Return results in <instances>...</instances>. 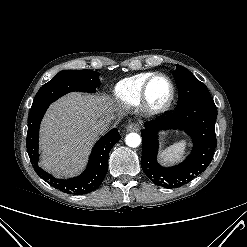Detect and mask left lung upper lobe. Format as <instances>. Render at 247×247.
Wrapping results in <instances>:
<instances>
[{
	"mask_svg": "<svg viewBox=\"0 0 247 247\" xmlns=\"http://www.w3.org/2000/svg\"><path fill=\"white\" fill-rule=\"evenodd\" d=\"M173 75L175 77L179 93L176 110L200 102L213 101L206 85L200 82L183 66L177 65Z\"/></svg>",
	"mask_w": 247,
	"mask_h": 247,
	"instance_id": "5c2ea615",
	"label": "left lung upper lobe"
}]
</instances>
